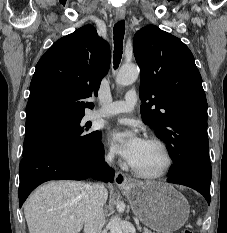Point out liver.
Instances as JSON below:
<instances>
[{"mask_svg":"<svg viewBox=\"0 0 227 233\" xmlns=\"http://www.w3.org/2000/svg\"><path fill=\"white\" fill-rule=\"evenodd\" d=\"M87 186L84 182L51 181L36 189L24 204L29 233H79L85 220ZM107 198L105 189L104 203Z\"/></svg>","mask_w":227,"mask_h":233,"instance_id":"6515ba94","label":"liver"}]
</instances>
